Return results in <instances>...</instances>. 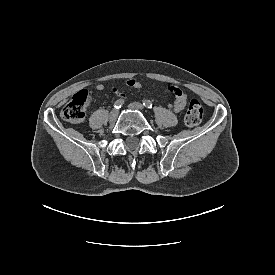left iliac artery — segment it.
<instances>
[{"label":"left iliac artery","instance_id":"left-iliac-artery-1","mask_svg":"<svg viewBox=\"0 0 275 275\" xmlns=\"http://www.w3.org/2000/svg\"><path fill=\"white\" fill-rule=\"evenodd\" d=\"M143 105H144L146 108H152V103H151V101H149V100L143 101Z\"/></svg>","mask_w":275,"mask_h":275}]
</instances>
